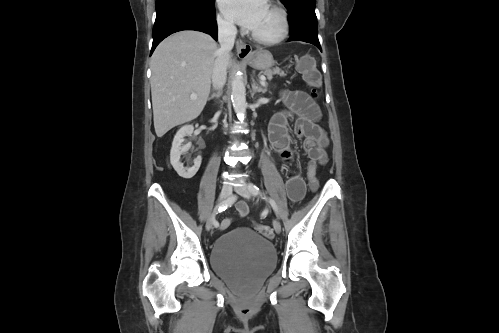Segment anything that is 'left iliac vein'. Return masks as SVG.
Here are the masks:
<instances>
[{
  "instance_id": "1",
  "label": "left iliac vein",
  "mask_w": 499,
  "mask_h": 333,
  "mask_svg": "<svg viewBox=\"0 0 499 333\" xmlns=\"http://www.w3.org/2000/svg\"><path fill=\"white\" fill-rule=\"evenodd\" d=\"M235 191H236V193H238L239 195H241L242 197H244L246 199L251 198L250 190L246 185H241V186L236 187ZM273 227H274V230L276 233L279 234L281 232V224L277 219L273 220Z\"/></svg>"
}]
</instances>
